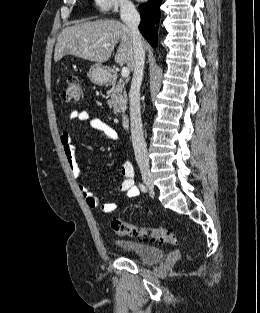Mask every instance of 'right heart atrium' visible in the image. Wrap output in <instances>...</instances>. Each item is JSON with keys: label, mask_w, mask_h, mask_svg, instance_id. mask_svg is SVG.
I'll use <instances>...</instances> for the list:
<instances>
[{"label": "right heart atrium", "mask_w": 260, "mask_h": 313, "mask_svg": "<svg viewBox=\"0 0 260 313\" xmlns=\"http://www.w3.org/2000/svg\"><path fill=\"white\" fill-rule=\"evenodd\" d=\"M94 6L101 13H130L134 10V5L130 0H94Z\"/></svg>", "instance_id": "right-heart-atrium-1"}]
</instances>
